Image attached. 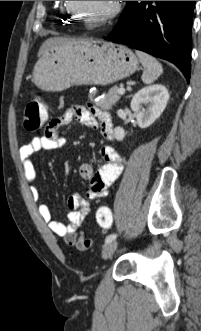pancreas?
I'll use <instances>...</instances> for the list:
<instances>
[{
    "label": "pancreas",
    "instance_id": "pancreas-1",
    "mask_svg": "<svg viewBox=\"0 0 201 331\" xmlns=\"http://www.w3.org/2000/svg\"><path fill=\"white\" fill-rule=\"evenodd\" d=\"M118 88H111L107 94H104L103 98L95 100L96 92L89 93V99L94 102L97 106L104 110H109L115 105L121 96L117 93Z\"/></svg>",
    "mask_w": 201,
    "mask_h": 331
}]
</instances>
